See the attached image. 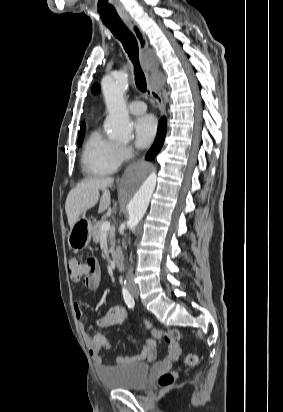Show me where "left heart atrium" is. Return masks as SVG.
<instances>
[{
  "label": "left heart atrium",
  "instance_id": "1",
  "mask_svg": "<svg viewBox=\"0 0 283 412\" xmlns=\"http://www.w3.org/2000/svg\"><path fill=\"white\" fill-rule=\"evenodd\" d=\"M157 120L152 115H143L134 122L135 142L140 148L152 143L157 134Z\"/></svg>",
  "mask_w": 283,
  "mask_h": 412
}]
</instances>
